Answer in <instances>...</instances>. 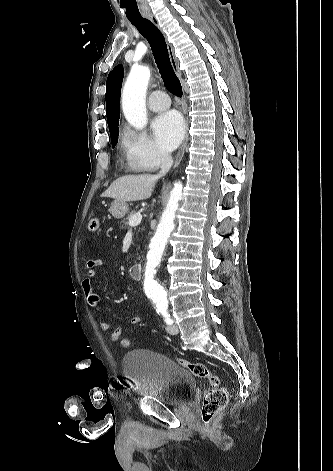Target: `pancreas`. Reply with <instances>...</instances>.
<instances>
[{"label": "pancreas", "mask_w": 333, "mask_h": 471, "mask_svg": "<svg viewBox=\"0 0 333 471\" xmlns=\"http://www.w3.org/2000/svg\"><path fill=\"white\" fill-rule=\"evenodd\" d=\"M135 213H136V212H135L134 210L131 211V212H129L128 216H127L125 219H123V220L121 221V225H122L121 228H122V229H126V228H127L130 217H131L132 215H134Z\"/></svg>", "instance_id": "1"}]
</instances>
